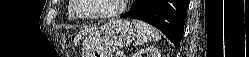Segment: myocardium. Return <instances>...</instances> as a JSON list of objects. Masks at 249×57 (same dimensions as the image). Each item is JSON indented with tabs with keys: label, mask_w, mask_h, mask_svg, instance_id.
<instances>
[{
	"label": "myocardium",
	"mask_w": 249,
	"mask_h": 57,
	"mask_svg": "<svg viewBox=\"0 0 249 57\" xmlns=\"http://www.w3.org/2000/svg\"><path fill=\"white\" fill-rule=\"evenodd\" d=\"M128 0H121V3L119 7L111 12L108 13H102V14H92V15H87L82 13V9L84 7V1L83 0H73V11L74 14L80 18V19H85V20H98V19H111L114 18L118 15H120L126 8Z\"/></svg>",
	"instance_id": "1"
}]
</instances>
